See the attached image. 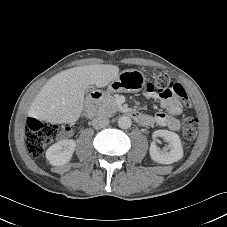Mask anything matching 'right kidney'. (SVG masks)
I'll return each mask as SVG.
<instances>
[{"label":"right kidney","mask_w":227,"mask_h":227,"mask_svg":"<svg viewBox=\"0 0 227 227\" xmlns=\"http://www.w3.org/2000/svg\"><path fill=\"white\" fill-rule=\"evenodd\" d=\"M76 142L72 139L58 141L46 151V158L53 166L63 165L72 158Z\"/></svg>","instance_id":"ca27d5eb"}]
</instances>
